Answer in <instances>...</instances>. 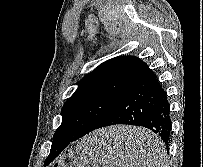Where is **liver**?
<instances>
[{
    "mask_svg": "<svg viewBox=\"0 0 203 167\" xmlns=\"http://www.w3.org/2000/svg\"><path fill=\"white\" fill-rule=\"evenodd\" d=\"M114 141L112 153L115 160L125 161L132 167H139L138 160L141 156V145L150 135L146 129L130 126H116L102 130Z\"/></svg>",
    "mask_w": 203,
    "mask_h": 167,
    "instance_id": "1",
    "label": "liver"
}]
</instances>
